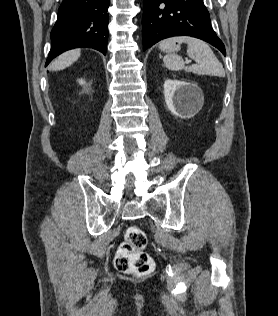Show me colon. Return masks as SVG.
Returning <instances> with one entry per match:
<instances>
[{
	"label": "colon",
	"instance_id": "5ec220e1",
	"mask_svg": "<svg viewBox=\"0 0 278 316\" xmlns=\"http://www.w3.org/2000/svg\"><path fill=\"white\" fill-rule=\"evenodd\" d=\"M147 245L145 232L136 225H131L125 232V240L115 256V267L119 272L147 275L154 269V261L144 250Z\"/></svg>",
	"mask_w": 278,
	"mask_h": 316
}]
</instances>
